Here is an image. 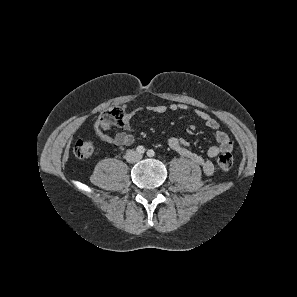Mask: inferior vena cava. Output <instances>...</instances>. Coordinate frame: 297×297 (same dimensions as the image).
<instances>
[{
	"instance_id": "obj_1",
	"label": "inferior vena cava",
	"mask_w": 297,
	"mask_h": 297,
	"mask_svg": "<svg viewBox=\"0 0 297 297\" xmlns=\"http://www.w3.org/2000/svg\"><path fill=\"white\" fill-rule=\"evenodd\" d=\"M142 158L141 154L134 150H130L126 153V160L129 163H135Z\"/></svg>"
}]
</instances>
